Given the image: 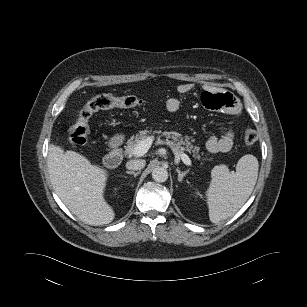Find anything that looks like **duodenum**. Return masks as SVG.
<instances>
[{
	"label": "duodenum",
	"instance_id": "duodenum-1",
	"mask_svg": "<svg viewBox=\"0 0 307 307\" xmlns=\"http://www.w3.org/2000/svg\"><path fill=\"white\" fill-rule=\"evenodd\" d=\"M122 142L123 139L121 136H115L110 141V149L109 152L104 157V165L108 168L117 167L123 159V152H122Z\"/></svg>",
	"mask_w": 307,
	"mask_h": 307
}]
</instances>
